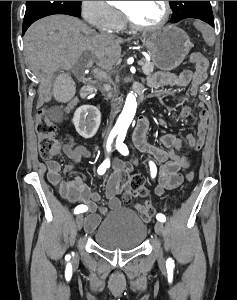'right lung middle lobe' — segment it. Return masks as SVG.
I'll return each mask as SVG.
<instances>
[{
  "mask_svg": "<svg viewBox=\"0 0 237 300\" xmlns=\"http://www.w3.org/2000/svg\"><path fill=\"white\" fill-rule=\"evenodd\" d=\"M53 14L80 16V1H27L23 23H32Z\"/></svg>",
  "mask_w": 237,
  "mask_h": 300,
  "instance_id": "1",
  "label": "right lung middle lobe"
}]
</instances>
